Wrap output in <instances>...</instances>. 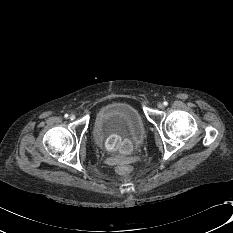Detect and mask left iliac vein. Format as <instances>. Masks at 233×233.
I'll use <instances>...</instances> for the list:
<instances>
[{"label":"left iliac vein","mask_w":233,"mask_h":233,"mask_svg":"<svg viewBox=\"0 0 233 233\" xmlns=\"http://www.w3.org/2000/svg\"><path fill=\"white\" fill-rule=\"evenodd\" d=\"M157 106H158V108H159V109H163V108H164V104H163V103H161V102H160V103H158V105H157Z\"/></svg>","instance_id":"1"}]
</instances>
